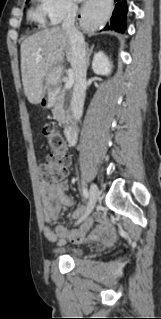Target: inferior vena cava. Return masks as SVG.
Here are the masks:
<instances>
[{"label": "inferior vena cava", "mask_w": 161, "mask_h": 319, "mask_svg": "<svg viewBox=\"0 0 161 319\" xmlns=\"http://www.w3.org/2000/svg\"><path fill=\"white\" fill-rule=\"evenodd\" d=\"M78 7L74 3L68 6V13L62 24L67 31L72 49V68L75 74V83L71 99V108L76 120H80L83 113L86 86V44L83 35L74 26Z\"/></svg>", "instance_id": "602c4592"}]
</instances>
